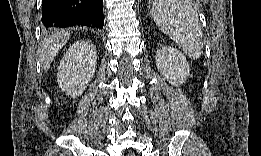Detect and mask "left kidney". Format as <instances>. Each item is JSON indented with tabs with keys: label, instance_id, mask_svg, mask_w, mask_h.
<instances>
[{
	"label": "left kidney",
	"instance_id": "left-kidney-1",
	"mask_svg": "<svg viewBox=\"0 0 261 156\" xmlns=\"http://www.w3.org/2000/svg\"><path fill=\"white\" fill-rule=\"evenodd\" d=\"M155 59L157 69L172 85L179 86L190 76L186 57L173 47H161L157 50Z\"/></svg>",
	"mask_w": 261,
	"mask_h": 156
}]
</instances>
